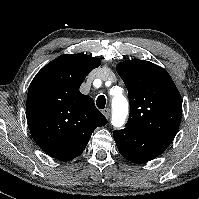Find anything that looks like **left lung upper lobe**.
Returning <instances> with one entry per match:
<instances>
[{"label":"left lung upper lobe","instance_id":"left-lung-upper-lobe-1","mask_svg":"<svg viewBox=\"0 0 199 199\" xmlns=\"http://www.w3.org/2000/svg\"><path fill=\"white\" fill-rule=\"evenodd\" d=\"M116 70L129 96L126 127L171 143L182 117V100L170 75L144 60H127Z\"/></svg>","mask_w":199,"mask_h":199}]
</instances>
